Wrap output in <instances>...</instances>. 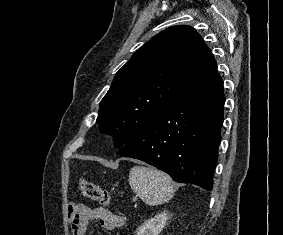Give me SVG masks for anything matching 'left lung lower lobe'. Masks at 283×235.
<instances>
[{
  "label": "left lung lower lobe",
  "instance_id": "0a47b994",
  "mask_svg": "<svg viewBox=\"0 0 283 235\" xmlns=\"http://www.w3.org/2000/svg\"><path fill=\"white\" fill-rule=\"evenodd\" d=\"M224 102L223 81L216 73L147 125L117 154L153 165L176 182L212 190Z\"/></svg>",
  "mask_w": 283,
  "mask_h": 235
}]
</instances>
